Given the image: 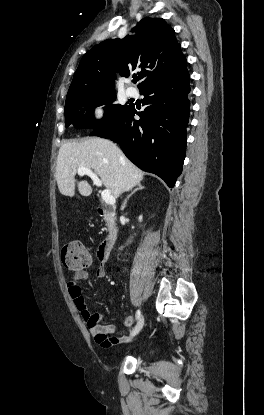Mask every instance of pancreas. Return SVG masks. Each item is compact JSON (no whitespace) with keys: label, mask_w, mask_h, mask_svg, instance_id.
Segmentation results:
<instances>
[{"label":"pancreas","mask_w":264,"mask_h":415,"mask_svg":"<svg viewBox=\"0 0 264 415\" xmlns=\"http://www.w3.org/2000/svg\"><path fill=\"white\" fill-rule=\"evenodd\" d=\"M106 226L108 227V230H109V231H111V230H112V225H111L109 222H107V223H106Z\"/></svg>","instance_id":"cf45deb5"}]
</instances>
